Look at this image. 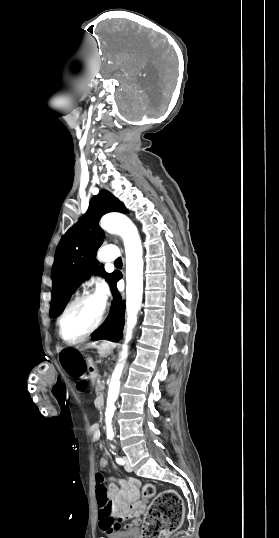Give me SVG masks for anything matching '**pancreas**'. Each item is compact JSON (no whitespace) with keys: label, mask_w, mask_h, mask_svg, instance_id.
Instances as JSON below:
<instances>
[{"label":"pancreas","mask_w":279,"mask_h":538,"mask_svg":"<svg viewBox=\"0 0 279 538\" xmlns=\"http://www.w3.org/2000/svg\"><path fill=\"white\" fill-rule=\"evenodd\" d=\"M98 387L99 388H96L97 396L103 397L105 395L104 391H105V388H106L105 380H99Z\"/></svg>","instance_id":"pancreas-1"}]
</instances>
